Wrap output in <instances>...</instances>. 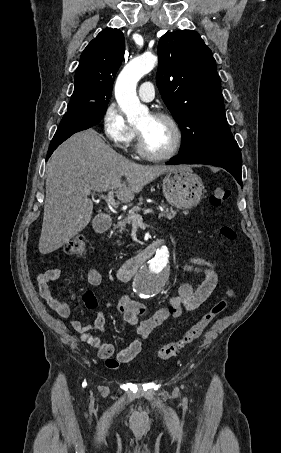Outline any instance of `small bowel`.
<instances>
[{"label":"small bowel","mask_w":281,"mask_h":453,"mask_svg":"<svg viewBox=\"0 0 281 453\" xmlns=\"http://www.w3.org/2000/svg\"><path fill=\"white\" fill-rule=\"evenodd\" d=\"M155 244L158 246L160 243L157 241ZM156 245L154 246L157 249L158 247ZM202 265V269H199L198 266L182 267V271L185 273H198L200 275L202 283L197 289H193L190 285H181L178 292L173 296L170 307L159 310L147 319L139 320V316L146 312L142 304L128 296H123L119 299L117 304L118 311L124 320L134 328L135 337L127 347L117 352H115L112 344L102 343L99 337L91 333L92 330L104 333L106 319L102 311L96 312L95 320L91 324H82L78 320H72L71 324L80 334V340L97 349L98 357L108 363L110 370H116L121 363H128L136 357L141 350L142 344L147 340L150 332L154 328L162 325L170 317H179L183 309H197L216 289L219 278L214 268L217 264L204 262ZM224 267L226 269L230 268L228 265ZM61 277L62 270L59 268L43 270L38 274V287L42 299L49 303L60 316L67 318L70 316L69 305L65 301L54 297L51 286L52 281ZM87 281L93 286H100L102 284L101 274L91 269L87 274ZM234 295V290L229 288L227 290V296L232 299ZM70 296L72 300L76 299V291L74 289L70 290Z\"/></svg>","instance_id":"small-bowel-1"}]
</instances>
